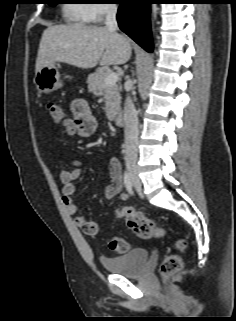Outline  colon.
Returning a JSON list of instances; mask_svg holds the SVG:
<instances>
[{"label":"colon","mask_w":236,"mask_h":321,"mask_svg":"<svg viewBox=\"0 0 236 321\" xmlns=\"http://www.w3.org/2000/svg\"><path fill=\"white\" fill-rule=\"evenodd\" d=\"M47 111L54 122H60L63 118V110L59 104L50 101L47 103ZM118 217L126 220L128 227L140 239L160 238L165 230L144 214L135 211L130 207L122 208L117 212ZM186 246L183 240L176 242V247L182 251ZM129 242L121 237H112L109 241V248L117 253H126L129 250ZM183 269L181 256L178 253L168 255L162 262L160 272L165 280L177 276Z\"/></svg>","instance_id":"colon-1"}]
</instances>
